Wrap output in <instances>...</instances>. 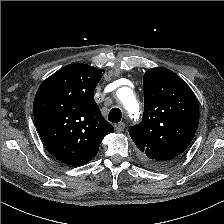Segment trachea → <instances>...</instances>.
Returning <instances> with one entry per match:
<instances>
[{
	"label": "trachea",
	"instance_id": "1",
	"mask_svg": "<svg viewBox=\"0 0 224 224\" xmlns=\"http://www.w3.org/2000/svg\"><path fill=\"white\" fill-rule=\"evenodd\" d=\"M122 112L119 108H112L108 115V120L113 123H118L121 121Z\"/></svg>",
	"mask_w": 224,
	"mask_h": 224
}]
</instances>
